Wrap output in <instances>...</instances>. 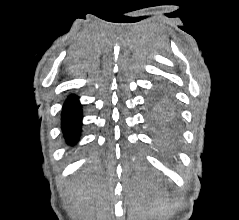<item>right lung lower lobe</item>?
I'll list each match as a JSON object with an SVG mask.
<instances>
[{"instance_id":"98d812e1","label":"right lung lower lobe","mask_w":239,"mask_h":220,"mask_svg":"<svg viewBox=\"0 0 239 220\" xmlns=\"http://www.w3.org/2000/svg\"><path fill=\"white\" fill-rule=\"evenodd\" d=\"M62 122V130L67 143L75 144L79 138L82 124L81 105L77 97L69 96L66 100L62 111Z\"/></svg>"}]
</instances>
